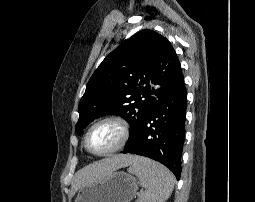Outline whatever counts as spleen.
I'll use <instances>...</instances> for the list:
<instances>
[{"label":"spleen","mask_w":255,"mask_h":202,"mask_svg":"<svg viewBox=\"0 0 255 202\" xmlns=\"http://www.w3.org/2000/svg\"><path fill=\"white\" fill-rule=\"evenodd\" d=\"M128 171L135 174L140 185L145 188L137 202H165L171 195L175 177L163 165L138 157Z\"/></svg>","instance_id":"obj_1"}]
</instances>
